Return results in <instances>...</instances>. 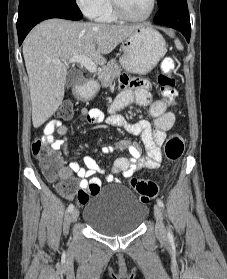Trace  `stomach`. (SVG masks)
<instances>
[{
	"instance_id": "obj_1",
	"label": "stomach",
	"mask_w": 227,
	"mask_h": 279,
	"mask_svg": "<svg viewBox=\"0 0 227 279\" xmlns=\"http://www.w3.org/2000/svg\"><path fill=\"white\" fill-rule=\"evenodd\" d=\"M123 55L120 63L126 71L146 74L164 57L167 45L163 36L150 27H141L122 42ZM98 91L96 83H89L82 89L81 96L93 98Z\"/></svg>"
}]
</instances>
